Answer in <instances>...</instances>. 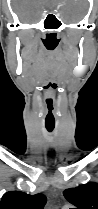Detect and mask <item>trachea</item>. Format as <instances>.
Returning <instances> with one entry per match:
<instances>
[{"label": "trachea", "mask_w": 98, "mask_h": 209, "mask_svg": "<svg viewBox=\"0 0 98 209\" xmlns=\"http://www.w3.org/2000/svg\"><path fill=\"white\" fill-rule=\"evenodd\" d=\"M46 128H47V130H48L49 132H51V131L54 129L53 126H51V127H46Z\"/></svg>", "instance_id": "obj_1"}]
</instances>
